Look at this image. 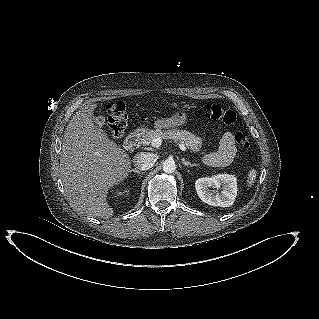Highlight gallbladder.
I'll return each instance as SVG.
<instances>
[{
    "label": "gallbladder",
    "mask_w": 319,
    "mask_h": 319,
    "mask_svg": "<svg viewBox=\"0 0 319 319\" xmlns=\"http://www.w3.org/2000/svg\"><path fill=\"white\" fill-rule=\"evenodd\" d=\"M94 121H95V123H96L97 125H99V126H103V125H105V123H106L105 117H103V116H97V117H95Z\"/></svg>",
    "instance_id": "1"
}]
</instances>
